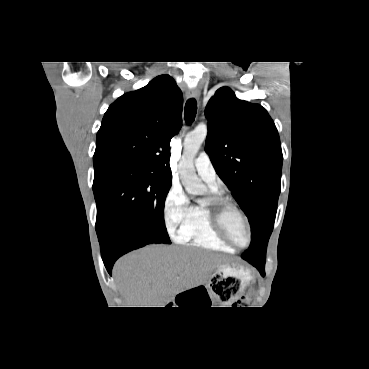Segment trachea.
I'll list each match as a JSON object with an SVG mask.
<instances>
[{"mask_svg": "<svg viewBox=\"0 0 369 369\" xmlns=\"http://www.w3.org/2000/svg\"><path fill=\"white\" fill-rule=\"evenodd\" d=\"M197 113V102L194 98H190L187 100L185 104L184 114H185V120L188 125H190Z\"/></svg>", "mask_w": 369, "mask_h": 369, "instance_id": "1", "label": "trachea"}]
</instances>
